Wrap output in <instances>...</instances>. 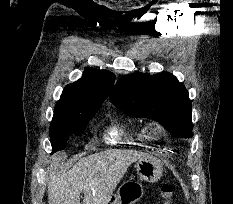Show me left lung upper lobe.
<instances>
[{
	"instance_id": "5c2ea615",
	"label": "left lung upper lobe",
	"mask_w": 233,
	"mask_h": 204,
	"mask_svg": "<svg viewBox=\"0 0 233 204\" xmlns=\"http://www.w3.org/2000/svg\"><path fill=\"white\" fill-rule=\"evenodd\" d=\"M110 99L126 115L158 121L176 137L193 135L188 91L171 73L124 76L117 81Z\"/></svg>"
}]
</instances>
